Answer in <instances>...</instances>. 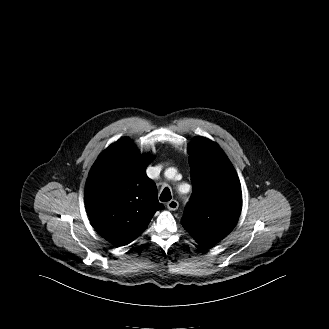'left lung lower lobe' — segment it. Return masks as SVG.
I'll list each match as a JSON object with an SVG mask.
<instances>
[{
    "label": "left lung lower lobe",
    "instance_id": "left-lung-lower-lobe-1",
    "mask_svg": "<svg viewBox=\"0 0 329 329\" xmlns=\"http://www.w3.org/2000/svg\"><path fill=\"white\" fill-rule=\"evenodd\" d=\"M214 244H216V243H214ZM214 244L204 243V244H202V246H203V248H210V247H212Z\"/></svg>",
    "mask_w": 329,
    "mask_h": 329
}]
</instances>
